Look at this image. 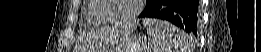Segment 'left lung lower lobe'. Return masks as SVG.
I'll return each mask as SVG.
<instances>
[{
    "label": "left lung lower lobe",
    "mask_w": 261,
    "mask_h": 52,
    "mask_svg": "<svg viewBox=\"0 0 261 52\" xmlns=\"http://www.w3.org/2000/svg\"><path fill=\"white\" fill-rule=\"evenodd\" d=\"M158 18L171 22L191 36H196L200 23L199 0H153L139 18Z\"/></svg>",
    "instance_id": "0a47b994"
}]
</instances>
